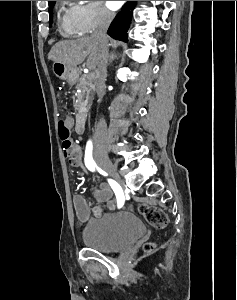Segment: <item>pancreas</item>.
<instances>
[{
	"instance_id": "obj_1",
	"label": "pancreas",
	"mask_w": 237,
	"mask_h": 300,
	"mask_svg": "<svg viewBox=\"0 0 237 300\" xmlns=\"http://www.w3.org/2000/svg\"><path fill=\"white\" fill-rule=\"evenodd\" d=\"M95 79L92 77L91 73H88V75H81L79 79V83L76 85V89H82L84 91L86 97V101H82V95H79L76 99V103L74 105V109L76 113H81V115H86L88 109L87 105L91 99V93L94 91V85Z\"/></svg>"
}]
</instances>
